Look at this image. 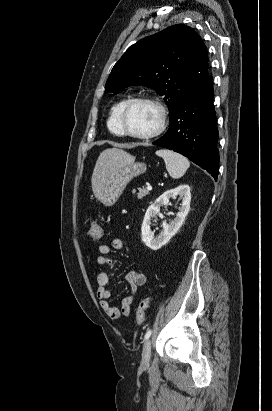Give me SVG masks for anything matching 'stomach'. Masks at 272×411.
Instances as JSON below:
<instances>
[{
	"instance_id": "0dacf381",
	"label": "stomach",
	"mask_w": 272,
	"mask_h": 411,
	"mask_svg": "<svg viewBox=\"0 0 272 411\" xmlns=\"http://www.w3.org/2000/svg\"><path fill=\"white\" fill-rule=\"evenodd\" d=\"M146 171V165L141 162L129 161L115 170L107 179L99 197L104 206L114 205L127 184L136 176Z\"/></svg>"
}]
</instances>
